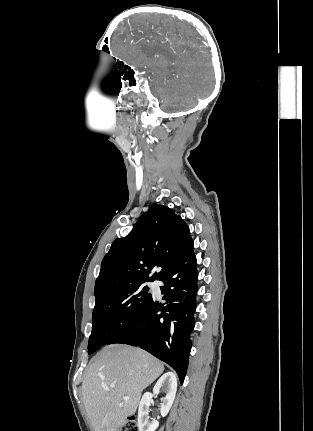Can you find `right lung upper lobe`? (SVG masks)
<instances>
[{
	"mask_svg": "<svg viewBox=\"0 0 313 431\" xmlns=\"http://www.w3.org/2000/svg\"><path fill=\"white\" fill-rule=\"evenodd\" d=\"M191 240L188 226L173 209L151 206L126 237L113 242L104 257L95 282L96 301L148 281L161 280ZM155 266L160 267V272L150 277Z\"/></svg>",
	"mask_w": 313,
	"mask_h": 431,
	"instance_id": "cb5924a9",
	"label": "right lung upper lobe"
}]
</instances>
